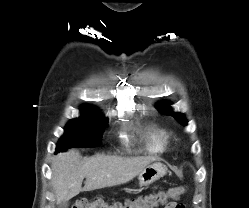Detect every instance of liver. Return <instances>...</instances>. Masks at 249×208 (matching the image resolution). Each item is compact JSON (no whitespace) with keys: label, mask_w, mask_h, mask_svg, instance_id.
I'll list each match as a JSON object with an SVG mask.
<instances>
[{"label":"liver","mask_w":249,"mask_h":208,"mask_svg":"<svg viewBox=\"0 0 249 208\" xmlns=\"http://www.w3.org/2000/svg\"><path fill=\"white\" fill-rule=\"evenodd\" d=\"M153 156L121 157L97 154L81 159L71 149L53 158L51 182L57 203L68 201L81 191L124 184L136 177L147 165L156 161ZM86 178L82 188L83 179Z\"/></svg>","instance_id":"1"}]
</instances>
